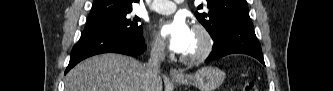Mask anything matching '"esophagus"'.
<instances>
[{
	"mask_svg": "<svg viewBox=\"0 0 333 91\" xmlns=\"http://www.w3.org/2000/svg\"><path fill=\"white\" fill-rule=\"evenodd\" d=\"M170 75H171V77H173V78H178V77H180V76L183 75V72L180 71V70H178V69H176V68H172V69L170 70Z\"/></svg>",
	"mask_w": 333,
	"mask_h": 91,
	"instance_id": "1",
	"label": "esophagus"
}]
</instances>
